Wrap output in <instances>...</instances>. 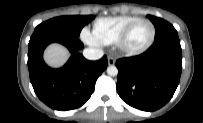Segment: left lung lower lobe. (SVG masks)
I'll use <instances>...</instances> for the list:
<instances>
[{"mask_svg":"<svg viewBox=\"0 0 203 123\" xmlns=\"http://www.w3.org/2000/svg\"><path fill=\"white\" fill-rule=\"evenodd\" d=\"M117 91L128 105L144 111L164 106L173 96L182 71L177 34L158 40L143 54L116 61Z\"/></svg>","mask_w":203,"mask_h":123,"instance_id":"1","label":"left lung lower lobe"}]
</instances>
